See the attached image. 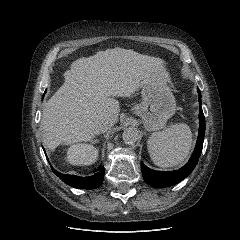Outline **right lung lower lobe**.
Returning <instances> with one entry per match:
<instances>
[{
  "label": "right lung lower lobe",
  "mask_w": 240,
  "mask_h": 240,
  "mask_svg": "<svg viewBox=\"0 0 240 240\" xmlns=\"http://www.w3.org/2000/svg\"><path fill=\"white\" fill-rule=\"evenodd\" d=\"M53 172L66 184L79 189H95L98 188L104 179V168L89 177H79L75 175L62 174L52 168Z\"/></svg>",
  "instance_id": "obj_1"
}]
</instances>
